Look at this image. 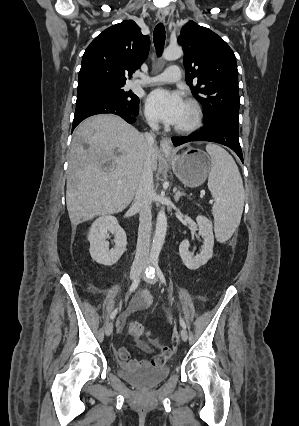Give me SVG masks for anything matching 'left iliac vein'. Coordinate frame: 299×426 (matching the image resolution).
Segmentation results:
<instances>
[{"label":"left iliac vein","mask_w":299,"mask_h":426,"mask_svg":"<svg viewBox=\"0 0 299 426\" xmlns=\"http://www.w3.org/2000/svg\"><path fill=\"white\" fill-rule=\"evenodd\" d=\"M147 270H148V271H150V270H151L152 274H151V277H147V276H145V275H144V276H143L144 280H145L146 282L150 283V284H155V283L158 281V279H157V277L155 276L154 272L152 271V267H151V266H149V267L147 268ZM180 335H181V338H182V340H183V341H186V340L188 339V333H187V330H186V329L182 328V329H181V332H180Z\"/></svg>","instance_id":"1"}]
</instances>
